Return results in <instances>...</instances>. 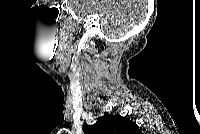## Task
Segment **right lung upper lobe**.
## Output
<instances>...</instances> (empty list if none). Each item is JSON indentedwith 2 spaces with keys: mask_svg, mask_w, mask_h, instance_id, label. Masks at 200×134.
<instances>
[{
  "mask_svg": "<svg viewBox=\"0 0 200 134\" xmlns=\"http://www.w3.org/2000/svg\"><path fill=\"white\" fill-rule=\"evenodd\" d=\"M85 134H137L138 126L129 119L117 115H104L84 128Z\"/></svg>",
  "mask_w": 200,
  "mask_h": 134,
  "instance_id": "obj_1",
  "label": "right lung upper lobe"
}]
</instances>
